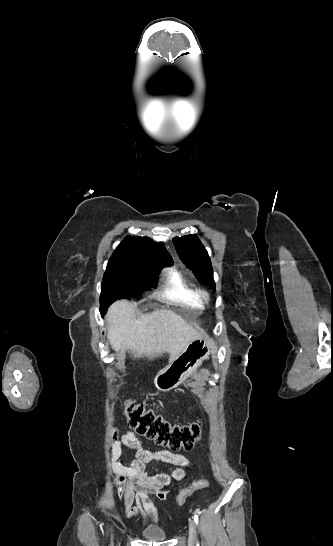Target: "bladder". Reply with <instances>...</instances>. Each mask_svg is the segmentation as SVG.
I'll use <instances>...</instances> for the list:
<instances>
[{"instance_id": "31cf9c89", "label": "bladder", "mask_w": 333, "mask_h": 546, "mask_svg": "<svg viewBox=\"0 0 333 546\" xmlns=\"http://www.w3.org/2000/svg\"><path fill=\"white\" fill-rule=\"evenodd\" d=\"M141 535L144 539L149 541H164L167 537L166 532L159 527H147L142 532Z\"/></svg>"}]
</instances>
